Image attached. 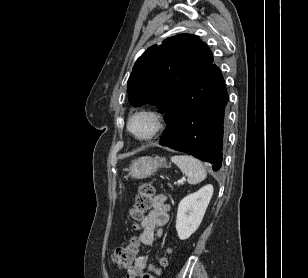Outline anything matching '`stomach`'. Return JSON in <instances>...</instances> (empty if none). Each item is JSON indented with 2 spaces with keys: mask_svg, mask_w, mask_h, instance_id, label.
<instances>
[{
  "mask_svg": "<svg viewBox=\"0 0 308 278\" xmlns=\"http://www.w3.org/2000/svg\"><path fill=\"white\" fill-rule=\"evenodd\" d=\"M161 167L167 168L164 158H152L149 156L140 157L132 162L126 178L129 176L135 179L150 177Z\"/></svg>",
  "mask_w": 308,
  "mask_h": 278,
  "instance_id": "0dacf381",
  "label": "stomach"
}]
</instances>
